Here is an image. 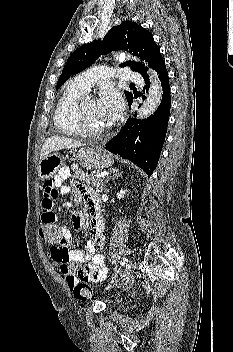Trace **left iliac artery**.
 Returning <instances> with one entry per match:
<instances>
[{
    "instance_id": "left-iliac-artery-1",
    "label": "left iliac artery",
    "mask_w": 233,
    "mask_h": 352,
    "mask_svg": "<svg viewBox=\"0 0 233 352\" xmlns=\"http://www.w3.org/2000/svg\"><path fill=\"white\" fill-rule=\"evenodd\" d=\"M122 266H129V260L127 258H123L121 261Z\"/></svg>"
}]
</instances>
